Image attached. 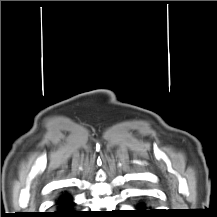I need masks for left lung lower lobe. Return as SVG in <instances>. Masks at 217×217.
Returning a JSON list of instances; mask_svg holds the SVG:
<instances>
[{
  "mask_svg": "<svg viewBox=\"0 0 217 217\" xmlns=\"http://www.w3.org/2000/svg\"><path fill=\"white\" fill-rule=\"evenodd\" d=\"M138 208L140 209L138 211V214H140L141 216H145V217L149 216L150 217V216H152V214H156L155 210H153V209H151L150 211L142 210L145 208V205L142 202L139 203Z\"/></svg>",
  "mask_w": 217,
  "mask_h": 217,
  "instance_id": "obj_1",
  "label": "left lung lower lobe"
}]
</instances>
